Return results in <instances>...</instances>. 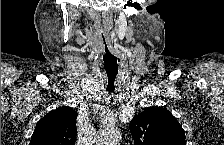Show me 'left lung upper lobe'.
I'll return each mask as SVG.
<instances>
[{
  "mask_svg": "<svg viewBox=\"0 0 224 145\" xmlns=\"http://www.w3.org/2000/svg\"><path fill=\"white\" fill-rule=\"evenodd\" d=\"M135 145H186L185 132L166 109L145 108L130 122Z\"/></svg>",
  "mask_w": 224,
  "mask_h": 145,
  "instance_id": "obj_1",
  "label": "left lung upper lobe"
}]
</instances>
